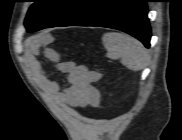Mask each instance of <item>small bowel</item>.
<instances>
[{
	"label": "small bowel",
	"instance_id": "small-bowel-1",
	"mask_svg": "<svg viewBox=\"0 0 182 140\" xmlns=\"http://www.w3.org/2000/svg\"><path fill=\"white\" fill-rule=\"evenodd\" d=\"M45 56L56 65L58 70L68 74L67 84L60 87L59 83L50 80L40 64L33 60L31 69L34 79L46 93L58 103L71 109L96 107L99 104L100 92L94 86L101 78L99 72L89 70L86 66L72 61H62L60 54L52 49L46 50Z\"/></svg>",
	"mask_w": 182,
	"mask_h": 140
}]
</instances>
